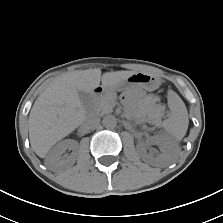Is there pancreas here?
Segmentation results:
<instances>
[{"instance_id": "pancreas-1", "label": "pancreas", "mask_w": 223, "mask_h": 223, "mask_svg": "<svg viewBox=\"0 0 223 223\" xmlns=\"http://www.w3.org/2000/svg\"><path fill=\"white\" fill-rule=\"evenodd\" d=\"M116 103V94L113 92L106 93L99 98L94 99L90 110L96 114H105L112 112Z\"/></svg>"}]
</instances>
